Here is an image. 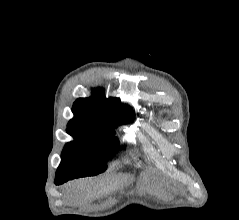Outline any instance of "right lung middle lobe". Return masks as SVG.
I'll return each mask as SVG.
<instances>
[{
  "label": "right lung middle lobe",
  "instance_id": "right-lung-middle-lobe-1",
  "mask_svg": "<svg viewBox=\"0 0 239 220\" xmlns=\"http://www.w3.org/2000/svg\"><path fill=\"white\" fill-rule=\"evenodd\" d=\"M116 125L104 128L68 125L67 132L74 141L67 143L63 149L55 183L62 184L68 180L104 172L107 161L119 149L117 138L112 136Z\"/></svg>",
  "mask_w": 239,
  "mask_h": 220
}]
</instances>
